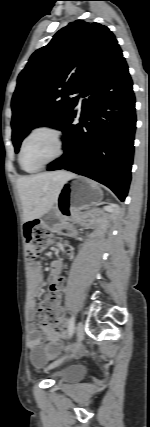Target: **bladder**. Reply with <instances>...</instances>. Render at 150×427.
Here are the masks:
<instances>
[{"instance_id": "bladder-1", "label": "bladder", "mask_w": 150, "mask_h": 427, "mask_svg": "<svg viewBox=\"0 0 150 427\" xmlns=\"http://www.w3.org/2000/svg\"><path fill=\"white\" fill-rule=\"evenodd\" d=\"M81 374V368L78 366H69L55 372L52 377L56 382H66L76 379Z\"/></svg>"}]
</instances>
